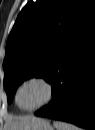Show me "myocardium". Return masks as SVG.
Here are the masks:
<instances>
[{
    "label": "myocardium",
    "mask_w": 95,
    "mask_h": 130,
    "mask_svg": "<svg viewBox=\"0 0 95 130\" xmlns=\"http://www.w3.org/2000/svg\"><path fill=\"white\" fill-rule=\"evenodd\" d=\"M32 82H38L40 84H42L45 89H46V97L45 99L37 106L33 107V108H30V109H25V108H22L19 103H18V95H19V92L20 90L28 83H32ZM53 94H54V87H53V84L45 77L43 76H32V77H29L27 79H25L24 81L21 82V84L18 86V88L16 89V92H15V95H14V101H15V104L16 106L24 111V112H34L40 108H42L43 106L47 105L52 97H53Z\"/></svg>",
    "instance_id": "1"
}]
</instances>
